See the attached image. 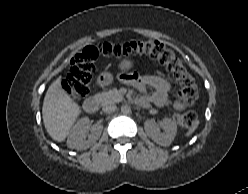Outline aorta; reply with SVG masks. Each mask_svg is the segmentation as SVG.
Wrapping results in <instances>:
<instances>
[{
  "label": "aorta",
  "instance_id": "obj_1",
  "mask_svg": "<svg viewBox=\"0 0 248 194\" xmlns=\"http://www.w3.org/2000/svg\"><path fill=\"white\" fill-rule=\"evenodd\" d=\"M121 112L123 114H129V113H131V107L129 105L125 104L121 107Z\"/></svg>",
  "mask_w": 248,
  "mask_h": 194
}]
</instances>
